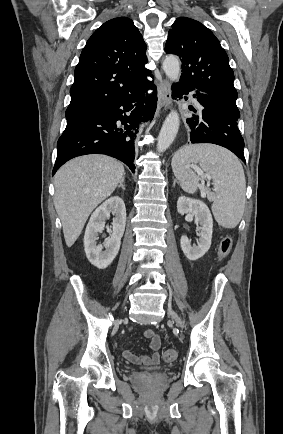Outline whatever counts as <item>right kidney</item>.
Returning a JSON list of instances; mask_svg holds the SVG:
<instances>
[{
  "label": "right kidney",
  "mask_w": 283,
  "mask_h": 434,
  "mask_svg": "<svg viewBox=\"0 0 283 434\" xmlns=\"http://www.w3.org/2000/svg\"><path fill=\"white\" fill-rule=\"evenodd\" d=\"M110 213L115 216L110 237L103 245L97 244L98 233L104 229L105 221L110 217ZM125 225L126 208L124 201L118 196L109 198L93 212L84 235L85 253L92 265L98 269H105L112 263L120 249Z\"/></svg>",
  "instance_id": "right-kidney-1"
}]
</instances>
